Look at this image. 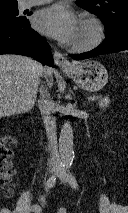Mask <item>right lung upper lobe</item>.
Returning a JSON list of instances; mask_svg holds the SVG:
<instances>
[{
    "label": "right lung upper lobe",
    "instance_id": "cb5924a9",
    "mask_svg": "<svg viewBox=\"0 0 128 213\" xmlns=\"http://www.w3.org/2000/svg\"><path fill=\"white\" fill-rule=\"evenodd\" d=\"M18 5L17 0H0V7Z\"/></svg>",
    "mask_w": 128,
    "mask_h": 213
}]
</instances>
